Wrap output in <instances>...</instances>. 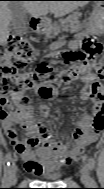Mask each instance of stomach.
I'll use <instances>...</instances> for the list:
<instances>
[{
    "label": "stomach",
    "instance_id": "1",
    "mask_svg": "<svg viewBox=\"0 0 104 189\" xmlns=\"http://www.w3.org/2000/svg\"><path fill=\"white\" fill-rule=\"evenodd\" d=\"M103 4L101 2H97L95 5V8L93 10V13L91 15V18L89 22L87 23V28L89 30H97L101 24L102 15H103Z\"/></svg>",
    "mask_w": 104,
    "mask_h": 189
}]
</instances>
